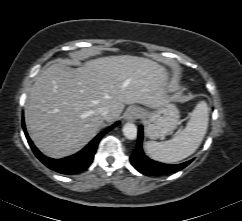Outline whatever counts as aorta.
Masks as SVG:
<instances>
[{"label":"aorta","instance_id":"obj_1","mask_svg":"<svg viewBox=\"0 0 242 221\" xmlns=\"http://www.w3.org/2000/svg\"><path fill=\"white\" fill-rule=\"evenodd\" d=\"M122 131H123L124 136L129 140H134L137 137V127L133 123H130V122L126 123L123 126Z\"/></svg>","mask_w":242,"mask_h":221}]
</instances>
